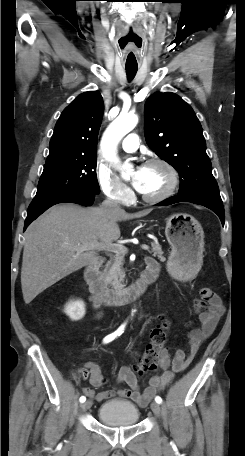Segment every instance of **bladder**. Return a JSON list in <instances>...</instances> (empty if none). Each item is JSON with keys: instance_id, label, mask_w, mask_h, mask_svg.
I'll use <instances>...</instances> for the list:
<instances>
[{"instance_id": "obj_1", "label": "bladder", "mask_w": 245, "mask_h": 456, "mask_svg": "<svg viewBox=\"0 0 245 456\" xmlns=\"http://www.w3.org/2000/svg\"><path fill=\"white\" fill-rule=\"evenodd\" d=\"M97 417L101 423L110 427H130L138 423L140 412L129 401L113 399L99 407Z\"/></svg>"}]
</instances>
